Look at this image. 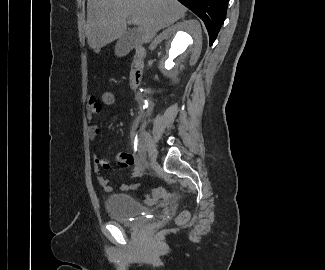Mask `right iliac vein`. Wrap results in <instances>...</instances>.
I'll return each instance as SVG.
<instances>
[{
	"mask_svg": "<svg viewBox=\"0 0 325 270\" xmlns=\"http://www.w3.org/2000/svg\"><path fill=\"white\" fill-rule=\"evenodd\" d=\"M157 154H158V151H157V148L154 144H152V147L149 151V157L152 161H155L156 158H157Z\"/></svg>",
	"mask_w": 325,
	"mask_h": 270,
	"instance_id": "right-iliac-vein-1",
	"label": "right iliac vein"
}]
</instances>
